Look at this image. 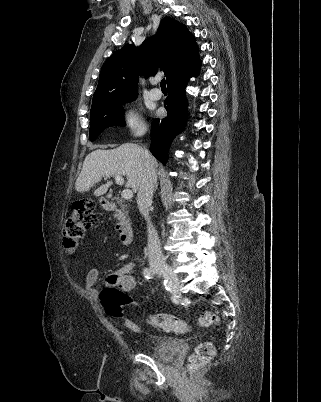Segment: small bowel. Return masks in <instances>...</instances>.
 Returning <instances> with one entry per match:
<instances>
[{"label":"small bowel","mask_w":321,"mask_h":402,"mask_svg":"<svg viewBox=\"0 0 321 402\" xmlns=\"http://www.w3.org/2000/svg\"><path fill=\"white\" fill-rule=\"evenodd\" d=\"M135 269V265L133 263L125 264L124 266L118 268L117 270L113 271L108 278L109 284H119L120 287L125 291L133 290L139 283L132 274L133 270ZM98 277V272L96 270L90 271L86 276V285L92 286ZM125 327L134 332L140 333L141 328L140 326L134 322L130 318H126L124 321Z\"/></svg>","instance_id":"obj_1"}]
</instances>
